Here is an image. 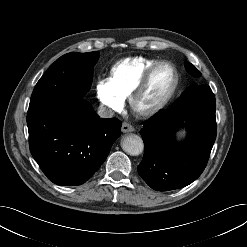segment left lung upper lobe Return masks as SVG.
I'll use <instances>...</instances> for the list:
<instances>
[{
	"mask_svg": "<svg viewBox=\"0 0 247 247\" xmlns=\"http://www.w3.org/2000/svg\"><path fill=\"white\" fill-rule=\"evenodd\" d=\"M186 66V69L188 72H190V74L193 76V77H200L201 76V73L196 69V67L194 65H192L191 63H186L185 64ZM195 86H190L189 88L186 89V91L182 94H186L187 92H189L190 90H192Z\"/></svg>",
	"mask_w": 247,
	"mask_h": 247,
	"instance_id": "5c2ea615",
	"label": "left lung upper lobe"
}]
</instances>
